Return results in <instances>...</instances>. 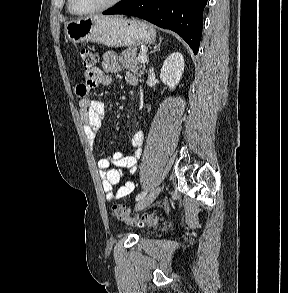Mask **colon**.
Here are the masks:
<instances>
[{
	"label": "colon",
	"mask_w": 288,
	"mask_h": 293,
	"mask_svg": "<svg viewBox=\"0 0 288 293\" xmlns=\"http://www.w3.org/2000/svg\"><path fill=\"white\" fill-rule=\"evenodd\" d=\"M80 58L82 61V66L85 73H89L96 68L98 63L97 54L89 49H82L80 51ZM111 211L113 216L122 221H131V213L128 207L122 204H113L111 207ZM157 222V218L155 216H142L140 219L136 220L138 225H153Z\"/></svg>",
	"instance_id": "5ec220e1"
}]
</instances>
